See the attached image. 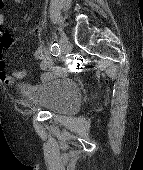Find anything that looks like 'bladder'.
<instances>
[{
  "mask_svg": "<svg viewBox=\"0 0 143 170\" xmlns=\"http://www.w3.org/2000/svg\"><path fill=\"white\" fill-rule=\"evenodd\" d=\"M18 91L26 106L61 115L74 114L82 101L77 83L69 77H57L38 83H21Z\"/></svg>",
  "mask_w": 143,
  "mask_h": 170,
  "instance_id": "31cf9c89",
  "label": "bladder"
}]
</instances>
